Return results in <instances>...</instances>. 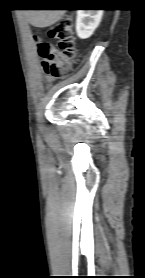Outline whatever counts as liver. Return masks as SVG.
Segmentation results:
<instances>
[{
    "instance_id": "6515ba94",
    "label": "liver",
    "mask_w": 145,
    "mask_h": 278,
    "mask_svg": "<svg viewBox=\"0 0 145 278\" xmlns=\"http://www.w3.org/2000/svg\"><path fill=\"white\" fill-rule=\"evenodd\" d=\"M27 22L39 28L49 27L60 21L65 10H25Z\"/></svg>"
}]
</instances>
